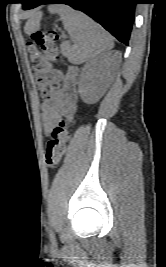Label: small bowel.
Here are the masks:
<instances>
[{
	"mask_svg": "<svg viewBox=\"0 0 166 267\" xmlns=\"http://www.w3.org/2000/svg\"><path fill=\"white\" fill-rule=\"evenodd\" d=\"M75 83L76 70L71 69L64 77L61 86L44 102L42 115L45 133H50L62 114H66L69 118L73 115L75 111V100L68 92L75 87Z\"/></svg>",
	"mask_w": 166,
	"mask_h": 267,
	"instance_id": "obj_1",
	"label": "small bowel"
}]
</instances>
